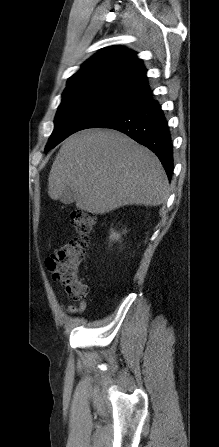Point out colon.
I'll return each instance as SVG.
<instances>
[{
    "label": "colon",
    "mask_w": 219,
    "mask_h": 447,
    "mask_svg": "<svg viewBox=\"0 0 219 447\" xmlns=\"http://www.w3.org/2000/svg\"><path fill=\"white\" fill-rule=\"evenodd\" d=\"M70 221L78 236L60 245L48 258L47 267L53 279L65 288L72 302H83L88 288L80 280L79 269L85 257L95 218L84 211H74Z\"/></svg>",
    "instance_id": "obj_1"
}]
</instances>
